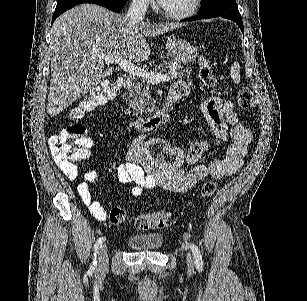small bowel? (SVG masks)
<instances>
[{
  "label": "small bowel",
  "mask_w": 307,
  "mask_h": 301,
  "mask_svg": "<svg viewBox=\"0 0 307 301\" xmlns=\"http://www.w3.org/2000/svg\"><path fill=\"white\" fill-rule=\"evenodd\" d=\"M189 91L188 85L180 81L173 86L171 93L181 98L188 95ZM202 111L214 134L215 144H227L223 159H213L206 164L199 163L203 153L208 149L205 142L181 149L171 147L160 139L147 142L140 138L129 147L126 154L127 162L117 167L118 182L133 184V196H139L153 188L183 193L208 176L219 179L235 174L243 165L248 153L253 139L252 129L240 122L234 104L229 100L209 98L203 103ZM85 144L91 148L94 142L90 137H86ZM55 160L60 170L70 179L78 177L75 165L68 161ZM185 164L191 167L185 169ZM98 180L99 173L89 170L85 173L84 180L78 184L77 191L94 218L104 221L106 211L90 188V185Z\"/></svg>",
  "instance_id": "1"
}]
</instances>
